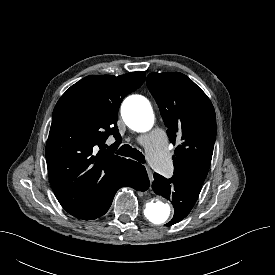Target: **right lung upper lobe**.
I'll list each match as a JSON object with an SVG mask.
<instances>
[{
  "instance_id": "obj_1",
  "label": "right lung upper lobe",
  "mask_w": 275,
  "mask_h": 275,
  "mask_svg": "<svg viewBox=\"0 0 275 275\" xmlns=\"http://www.w3.org/2000/svg\"><path fill=\"white\" fill-rule=\"evenodd\" d=\"M145 75L87 76L57 102L45 148L48 174L59 203L74 217L93 212L132 161L114 155L105 142L109 134L119 142L120 104L143 84Z\"/></svg>"
}]
</instances>
